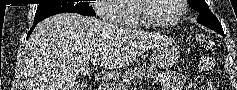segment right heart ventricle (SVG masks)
<instances>
[{"label":"right heart ventricle","instance_id":"e07e8e85","mask_svg":"<svg viewBox=\"0 0 237 90\" xmlns=\"http://www.w3.org/2000/svg\"><path fill=\"white\" fill-rule=\"evenodd\" d=\"M131 3H137V0H131ZM113 7L114 13L116 16H125V15H133V12H125V11H133L134 4H115ZM113 28H144L139 19H125V17L119 21H117Z\"/></svg>","mask_w":237,"mask_h":90}]
</instances>
